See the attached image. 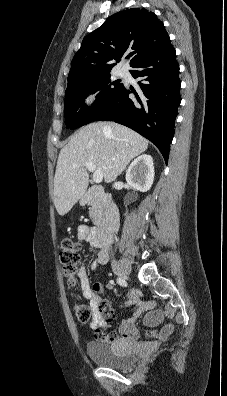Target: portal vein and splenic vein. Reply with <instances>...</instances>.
Segmentation results:
<instances>
[{
  "instance_id": "obj_1",
  "label": "portal vein and splenic vein",
  "mask_w": 227,
  "mask_h": 396,
  "mask_svg": "<svg viewBox=\"0 0 227 396\" xmlns=\"http://www.w3.org/2000/svg\"><path fill=\"white\" fill-rule=\"evenodd\" d=\"M85 167L90 171L93 172V180L95 183H100L103 179V174L100 170H96L95 165L91 162H87Z\"/></svg>"
}]
</instances>
